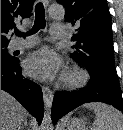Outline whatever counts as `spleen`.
I'll return each instance as SVG.
<instances>
[{
    "label": "spleen",
    "mask_w": 123,
    "mask_h": 130,
    "mask_svg": "<svg viewBox=\"0 0 123 130\" xmlns=\"http://www.w3.org/2000/svg\"><path fill=\"white\" fill-rule=\"evenodd\" d=\"M84 107L93 110L96 116L91 130H123L122 116L112 106L94 102Z\"/></svg>",
    "instance_id": "3e777b00"
}]
</instances>
